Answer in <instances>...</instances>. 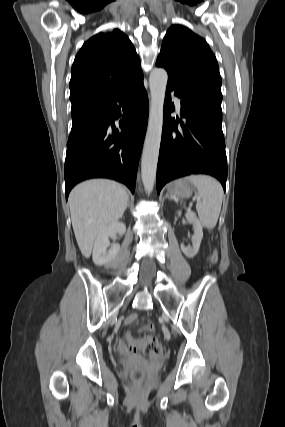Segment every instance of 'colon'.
Returning a JSON list of instances; mask_svg holds the SVG:
<instances>
[{
  "label": "colon",
  "mask_w": 285,
  "mask_h": 427,
  "mask_svg": "<svg viewBox=\"0 0 285 427\" xmlns=\"http://www.w3.org/2000/svg\"><path fill=\"white\" fill-rule=\"evenodd\" d=\"M217 258V253L214 252L211 258L212 263H216ZM139 331L144 334L143 337L137 338L132 336L131 333L126 335V345L128 349L134 352L142 351L151 358L160 357L163 353V347L156 338L150 335L154 331L153 324H145ZM130 376L136 385H140L145 378V373L141 368H134L132 369Z\"/></svg>",
  "instance_id": "colon-1"
}]
</instances>
